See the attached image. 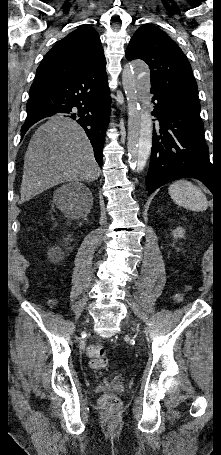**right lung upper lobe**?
<instances>
[{
  "label": "right lung upper lobe",
  "instance_id": "cb5924a9",
  "mask_svg": "<svg viewBox=\"0 0 221 455\" xmlns=\"http://www.w3.org/2000/svg\"><path fill=\"white\" fill-rule=\"evenodd\" d=\"M99 63H106L99 35L90 25H82L48 51L37 68L30 95L46 89L66 76Z\"/></svg>",
  "mask_w": 221,
  "mask_h": 455
}]
</instances>
